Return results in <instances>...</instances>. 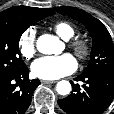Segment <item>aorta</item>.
Returning <instances> with one entry per match:
<instances>
[{
  "label": "aorta",
  "mask_w": 114,
  "mask_h": 114,
  "mask_svg": "<svg viewBox=\"0 0 114 114\" xmlns=\"http://www.w3.org/2000/svg\"><path fill=\"white\" fill-rule=\"evenodd\" d=\"M36 47L43 54H53L62 50V42L52 35L44 34L38 38ZM56 91L60 95H67L71 92V84L65 80L59 81Z\"/></svg>",
  "instance_id": "obj_1"
}]
</instances>
